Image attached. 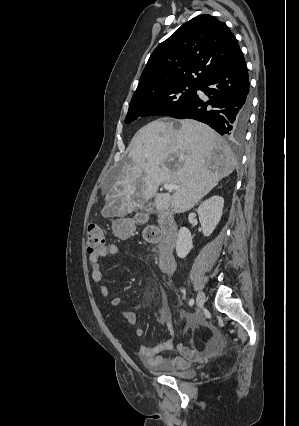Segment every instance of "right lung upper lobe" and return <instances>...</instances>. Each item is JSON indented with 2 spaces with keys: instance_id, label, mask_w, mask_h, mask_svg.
Returning <instances> with one entry per match:
<instances>
[{
  "instance_id": "right-lung-upper-lobe-1",
  "label": "right lung upper lobe",
  "mask_w": 299,
  "mask_h": 426,
  "mask_svg": "<svg viewBox=\"0 0 299 426\" xmlns=\"http://www.w3.org/2000/svg\"><path fill=\"white\" fill-rule=\"evenodd\" d=\"M240 53L224 22L208 14L196 16L153 51L131 101L173 85H199Z\"/></svg>"
}]
</instances>
